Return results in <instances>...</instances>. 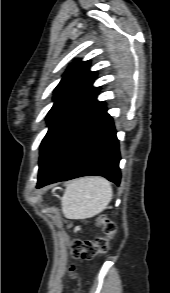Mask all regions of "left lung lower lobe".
Listing matches in <instances>:
<instances>
[{
  "instance_id": "obj_1",
  "label": "left lung lower lobe",
  "mask_w": 170,
  "mask_h": 293,
  "mask_svg": "<svg viewBox=\"0 0 170 293\" xmlns=\"http://www.w3.org/2000/svg\"><path fill=\"white\" fill-rule=\"evenodd\" d=\"M119 144L112 118L103 105L72 137L49 168L38 176L37 188L81 176L100 175L120 183Z\"/></svg>"
}]
</instances>
